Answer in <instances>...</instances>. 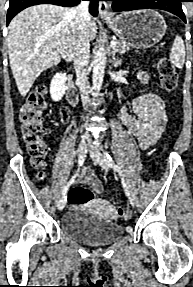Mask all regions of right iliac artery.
<instances>
[{
  "label": "right iliac artery",
  "mask_w": 193,
  "mask_h": 287,
  "mask_svg": "<svg viewBox=\"0 0 193 287\" xmlns=\"http://www.w3.org/2000/svg\"><path fill=\"white\" fill-rule=\"evenodd\" d=\"M83 163H84V157H79V158H78V169H77L76 173L71 177V179L69 180V182L66 184V186L64 187V189H63V191H62V195H63V196L67 193L68 188L70 187V185H71L72 183H74V181H75V179H76V177H77V175H78V172H79L80 167L83 166Z\"/></svg>",
  "instance_id": "right-iliac-artery-1"
}]
</instances>
